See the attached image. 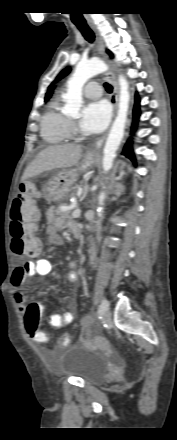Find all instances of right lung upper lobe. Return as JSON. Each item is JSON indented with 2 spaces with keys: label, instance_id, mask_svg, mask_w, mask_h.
<instances>
[{
  "label": "right lung upper lobe",
  "instance_id": "obj_1",
  "mask_svg": "<svg viewBox=\"0 0 177 440\" xmlns=\"http://www.w3.org/2000/svg\"><path fill=\"white\" fill-rule=\"evenodd\" d=\"M52 91H53V89L51 88V89L47 92V94H46V96H45V101H47V100L51 97Z\"/></svg>",
  "mask_w": 177,
  "mask_h": 440
}]
</instances>
